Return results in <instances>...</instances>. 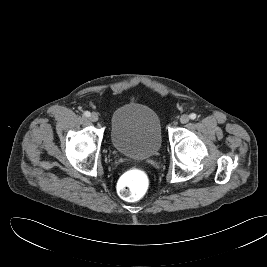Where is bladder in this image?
<instances>
[{"instance_id": "obj_1", "label": "bladder", "mask_w": 267, "mask_h": 267, "mask_svg": "<svg viewBox=\"0 0 267 267\" xmlns=\"http://www.w3.org/2000/svg\"><path fill=\"white\" fill-rule=\"evenodd\" d=\"M110 141L122 155L142 160L152 158L162 145L157 113L141 103L128 102L119 106L110 118Z\"/></svg>"}]
</instances>
